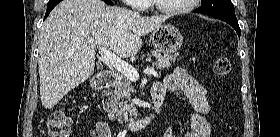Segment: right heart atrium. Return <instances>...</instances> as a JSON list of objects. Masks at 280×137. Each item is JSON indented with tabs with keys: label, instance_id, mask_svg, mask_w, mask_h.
Masks as SVG:
<instances>
[{
	"label": "right heart atrium",
	"instance_id": "1",
	"mask_svg": "<svg viewBox=\"0 0 280 137\" xmlns=\"http://www.w3.org/2000/svg\"><path fill=\"white\" fill-rule=\"evenodd\" d=\"M128 3L138 10H144L146 8V0H129Z\"/></svg>",
	"mask_w": 280,
	"mask_h": 137
}]
</instances>
